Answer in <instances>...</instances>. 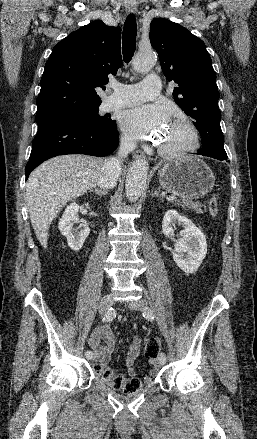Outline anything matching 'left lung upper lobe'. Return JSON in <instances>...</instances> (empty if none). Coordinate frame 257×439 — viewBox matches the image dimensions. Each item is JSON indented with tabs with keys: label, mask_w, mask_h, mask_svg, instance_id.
Segmentation results:
<instances>
[{
	"label": "left lung upper lobe",
	"mask_w": 257,
	"mask_h": 439,
	"mask_svg": "<svg viewBox=\"0 0 257 439\" xmlns=\"http://www.w3.org/2000/svg\"><path fill=\"white\" fill-rule=\"evenodd\" d=\"M150 42L159 55L165 77L178 84L173 91L175 102L201 133L203 148L199 153L226 156L216 75L204 42L163 18L152 20Z\"/></svg>",
	"instance_id": "left-lung-upper-lobe-1"
}]
</instances>
